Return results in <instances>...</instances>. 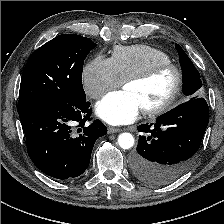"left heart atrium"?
Here are the masks:
<instances>
[{
    "mask_svg": "<svg viewBox=\"0 0 224 224\" xmlns=\"http://www.w3.org/2000/svg\"><path fill=\"white\" fill-rule=\"evenodd\" d=\"M141 110L138 98L127 90L111 92L96 104L97 115L111 125L131 123Z\"/></svg>",
    "mask_w": 224,
    "mask_h": 224,
    "instance_id": "obj_1",
    "label": "left heart atrium"
}]
</instances>
